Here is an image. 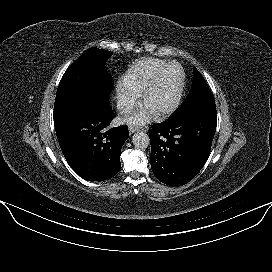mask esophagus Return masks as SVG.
Segmentation results:
<instances>
[{
    "label": "esophagus",
    "instance_id": "esophagus-1",
    "mask_svg": "<svg viewBox=\"0 0 272 272\" xmlns=\"http://www.w3.org/2000/svg\"><path fill=\"white\" fill-rule=\"evenodd\" d=\"M139 130H140V128H138V127H134V126L129 127V133L130 134H133V133H135V132H137Z\"/></svg>",
    "mask_w": 272,
    "mask_h": 272
}]
</instances>
